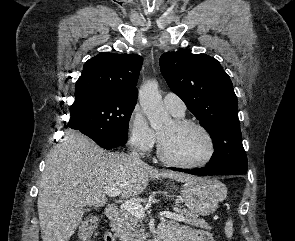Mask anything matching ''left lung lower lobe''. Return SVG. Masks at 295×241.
<instances>
[{
    "label": "left lung lower lobe",
    "instance_id": "1",
    "mask_svg": "<svg viewBox=\"0 0 295 241\" xmlns=\"http://www.w3.org/2000/svg\"><path fill=\"white\" fill-rule=\"evenodd\" d=\"M172 170L175 171H180V172H185L193 175H237V174H243L239 171H233L225 168H220V167H209L205 166L202 168L198 169H179V168H171Z\"/></svg>",
    "mask_w": 295,
    "mask_h": 241
}]
</instances>
